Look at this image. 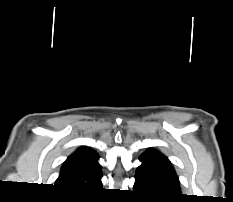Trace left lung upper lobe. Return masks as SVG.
<instances>
[{"label": "left lung upper lobe", "mask_w": 233, "mask_h": 202, "mask_svg": "<svg viewBox=\"0 0 233 202\" xmlns=\"http://www.w3.org/2000/svg\"><path fill=\"white\" fill-rule=\"evenodd\" d=\"M139 159L142 164L137 168L136 174L144 175L155 185L180 191L178 176L165 155L154 149H148Z\"/></svg>", "instance_id": "obj_1"}]
</instances>
